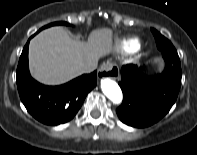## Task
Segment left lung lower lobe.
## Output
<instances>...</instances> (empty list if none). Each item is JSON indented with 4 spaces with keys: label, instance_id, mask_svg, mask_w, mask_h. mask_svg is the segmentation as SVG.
<instances>
[{
    "label": "left lung lower lobe",
    "instance_id": "0a47b994",
    "mask_svg": "<svg viewBox=\"0 0 197 155\" xmlns=\"http://www.w3.org/2000/svg\"><path fill=\"white\" fill-rule=\"evenodd\" d=\"M165 68L148 77L135 65L121 68L119 85L123 102L116 112L120 120L132 127H148L164 117L175 103L181 86V64L177 53L164 52Z\"/></svg>",
    "mask_w": 197,
    "mask_h": 155
}]
</instances>
